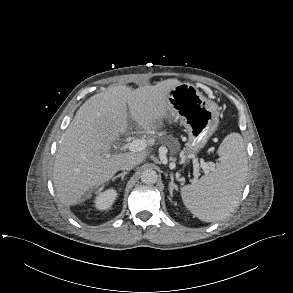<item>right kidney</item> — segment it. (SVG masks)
I'll return each mask as SVG.
<instances>
[{"label": "right kidney", "mask_w": 293, "mask_h": 293, "mask_svg": "<svg viewBox=\"0 0 293 293\" xmlns=\"http://www.w3.org/2000/svg\"><path fill=\"white\" fill-rule=\"evenodd\" d=\"M117 197V192L114 189H108L100 192L95 197V207L99 210L109 209Z\"/></svg>", "instance_id": "obj_1"}]
</instances>
